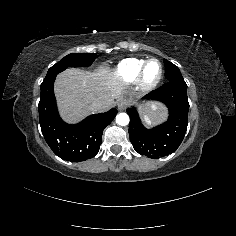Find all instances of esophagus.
Masks as SVG:
<instances>
[{"label":"esophagus","mask_w":236,"mask_h":236,"mask_svg":"<svg viewBox=\"0 0 236 236\" xmlns=\"http://www.w3.org/2000/svg\"><path fill=\"white\" fill-rule=\"evenodd\" d=\"M128 106V101L124 98H121L117 102V107L120 111H124Z\"/></svg>","instance_id":"1"}]
</instances>
